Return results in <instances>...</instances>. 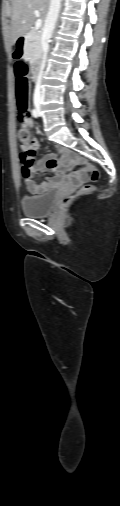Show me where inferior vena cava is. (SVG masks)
<instances>
[{
    "instance_id": "602c4592",
    "label": "inferior vena cava",
    "mask_w": 120,
    "mask_h": 506,
    "mask_svg": "<svg viewBox=\"0 0 120 506\" xmlns=\"http://www.w3.org/2000/svg\"><path fill=\"white\" fill-rule=\"evenodd\" d=\"M61 1L62 0H50L49 10H48L47 16L45 18V23H44V27H43V34H42L43 60H42L38 80L36 83V87L34 90V101L35 102H39L41 100V78L43 75L46 57H47V53L49 50V41H50V38H51L53 31L55 29V25H56L59 11L61 8Z\"/></svg>"
}]
</instances>
